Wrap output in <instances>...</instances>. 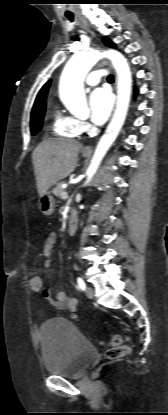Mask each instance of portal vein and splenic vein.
Segmentation results:
<instances>
[{"mask_svg": "<svg viewBox=\"0 0 168 415\" xmlns=\"http://www.w3.org/2000/svg\"><path fill=\"white\" fill-rule=\"evenodd\" d=\"M61 197H62L63 199L68 198V193H67L66 191H63V192L61 193Z\"/></svg>", "mask_w": 168, "mask_h": 415, "instance_id": "portal-vein-and-splenic-vein-1", "label": "portal vein and splenic vein"}]
</instances>
